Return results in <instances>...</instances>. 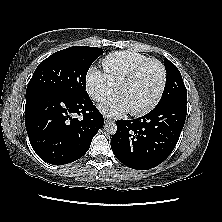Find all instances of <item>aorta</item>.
I'll return each mask as SVG.
<instances>
[{"mask_svg": "<svg viewBox=\"0 0 222 222\" xmlns=\"http://www.w3.org/2000/svg\"><path fill=\"white\" fill-rule=\"evenodd\" d=\"M104 130L106 133H108L110 135H114L117 131V126L115 123L109 122L104 125Z\"/></svg>", "mask_w": 222, "mask_h": 222, "instance_id": "762f6f07", "label": "aorta"}]
</instances>
